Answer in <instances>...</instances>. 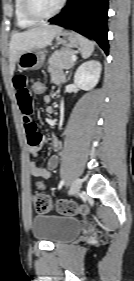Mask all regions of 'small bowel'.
<instances>
[{
    "mask_svg": "<svg viewBox=\"0 0 134 281\" xmlns=\"http://www.w3.org/2000/svg\"><path fill=\"white\" fill-rule=\"evenodd\" d=\"M65 81V75L57 71L53 74V82L58 85ZM12 85L15 89L16 100L22 114V120L27 137V145L30 153L36 155L37 149L45 142V138L39 132L37 124L32 118L33 99L29 78L23 74H16L12 78ZM45 102L50 101L49 96H45ZM53 154L50 156L45 168L39 167L35 161L28 164L29 172L36 177L48 179L59 164L60 142L57 137L51 139Z\"/></svg>",
    "mask_w": 134,
    "mask_h": 281,
    "instance_id": "1",
    "label": "small bowel"
}]
</instances>
